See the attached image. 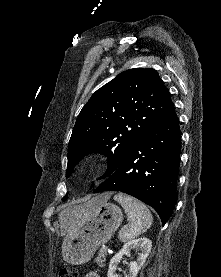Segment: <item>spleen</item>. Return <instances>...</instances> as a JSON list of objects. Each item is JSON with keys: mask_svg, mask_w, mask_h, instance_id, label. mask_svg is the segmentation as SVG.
I'll return each mask as SVG.
<instances>
[{"mask_svg": "<svg viewBox=\"0 0 221 277\" xmlns=\"http://www.w3.org/2000/svg\"><path fill=\"white\" fill-rule=\"evenodd\" d=\"M114 200L119 202L124 208L129 221L119 232V239L122 242L141 235L151 227L153 222L152 214L142 202L123 193L116 194Z\"/></svg>", "mask_w": 221, "mask_h": 277, "instance_id": "spleen-1", "label": "spleen"}]
</instances>
